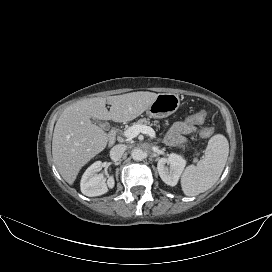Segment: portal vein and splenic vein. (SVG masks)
Wrapping results in <instances>:
<instances>
[{"label": "portal vein and splenic vein", "instance_id": "1", "mask_svg": "<svg viewBox=\"0 0 272 272\" xmlns=\"http://www.w3.org/2000/svg\"><path fill=\"white\" fill-rule=\"evenodd\" d=\"M140 133L147 134L151 138H155V131L151 127L146 125H133L126 129L123 132V135L127 138L132 139L137 137Z\"/></svg>", "mask_w": 272, "mask_h": 272}]
</instances>
